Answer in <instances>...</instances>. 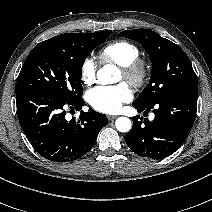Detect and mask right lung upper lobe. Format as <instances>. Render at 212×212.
I'll use <instances>...</instances> for the list:
<instances>
[{
  "label": "right lung upper lobe",
  "instance_id": "1",
  "mask_svg": "<svg viewBox=\"0 0 212 212\" xmlns=\"http://www.w3.org/2000/svg\"><path fill=\"white\" fill-rule=\"evenodd\" d=\"M63 38H64V34H61V35H58L56 37H53V38H51L49 40L43 41L42 43L52 44V43H56V42L61 41Z\"/></svg>",
  "mask_w": 212,
  "mask_h": 212
}]
</instances>
